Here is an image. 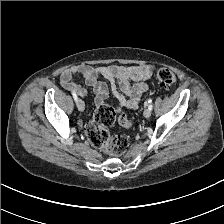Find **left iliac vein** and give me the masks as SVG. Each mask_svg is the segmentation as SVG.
I'll return each instance as SVG.
<instances>
[{"label":"left iliac vein","instance_id":"left-iliac-vein-1","mask_svg":"<svg viewBox=\"0 0 224 224\" xmlns=\"http://www.w3.org/2000/svg\"><path fill=\"white\" fill-rule=\"evenodd\" d=\"M143 115L145 118H149L151 116V110L149 108L145 109Z\"/></svg>","mask_w":224,"mask_h":224}]
</instances>
